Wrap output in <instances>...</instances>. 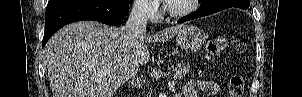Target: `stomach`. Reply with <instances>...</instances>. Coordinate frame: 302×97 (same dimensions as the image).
<instances>
[{
  "instance_id": "0dacf381",
  "label": "stomach",
  "mask_w": 302,
  "mask_h": 97,
  "mask_svg": "<svg viewBox=\"0 0 302 97\" xmlns=\"http://www.w3.org/2000/svg\"><path fill=\"white\" fill-rule=\"evenodd\" d=\"M206 35L202 29L194 25H186L176 36L177 45L184 50L196 51L205 43Z\"/></svg>"
}]
</instances>
